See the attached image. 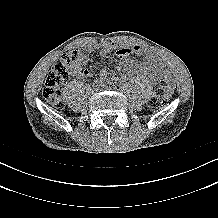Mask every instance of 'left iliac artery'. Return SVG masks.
Here are the masks:
<instances>
[{
    "label": "left iliac artery",
    "mask_w": 218,
    "mask_h": 218,
    "mask_svg": "<svg viewBox=\"0 0 218 218\" xmlns=\"http://www.w3.org/2000/svg\"><path fill=\"white\" fill-rule=\"evenodd\" d=\"M106 83H107V84H111L112 82H111L110 79H106Z\"/></svg>",
    "instance_id": "1"
}]
</instances>
